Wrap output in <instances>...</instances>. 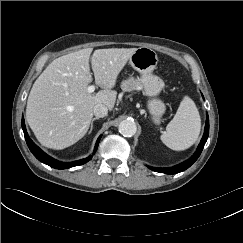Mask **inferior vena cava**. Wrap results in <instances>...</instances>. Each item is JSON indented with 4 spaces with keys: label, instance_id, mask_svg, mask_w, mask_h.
Listing matches in <instances>:
<instances>
[{
    "label": "inferior vena cava",
    "instance_id": "inferior-vena-cava-1",
    "mask_svg": "<svg viewBox=\"0 0 243 243\" xmlns=\"http://www.w3.org/2000/svg\"><path fill=\"white\" fill-rule=\"evenodd\" d=\"M94 115L98 118L105 117L108 113V108L104 104H97L93 109Z\"/></svg>",
    "mask_w": 243,
    "mask_h": 243
}]
</instances>
